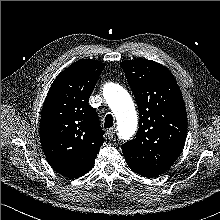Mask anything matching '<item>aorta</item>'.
<instances>
[{
  "mask_svg": "<svg viewBox=\"0 0 220 220\" xmlns=\"http://www.w3.org/2000/svg\"><path fill=\"white\" fill-rule=\"evenodd\" d=\"M104 98L115 114L118 136L128 140L137 129V113L129 93L120 85L108 83L103 90Z\"/></svg>",
  "mask_w": 220,
  "mask_h": 220,
  "instance_id": "1",
  "label": "aorta"
}]
</instances>
